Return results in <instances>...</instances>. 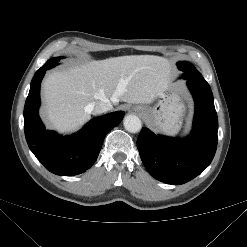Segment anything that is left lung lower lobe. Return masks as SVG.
<instances>
[{"label": "left lung lower lobe", "mask_w": 247, "mask_h": 247, "mask_svg": "<svg viewBox=\"0 0 247 247\" xmlns=\"http://www.w3.org/2000/svg\"><path fill=\"white\" fill-rule=\"evenodd\" d=\"M195 101L191 134L186 139L155 135L143 127L137 148L147 171L167 184H184L211 163L217 148L218 118L213 94L204 78L183 77Z\"/></svg>", "instance_id": "0a47b994"}]
</instances>
